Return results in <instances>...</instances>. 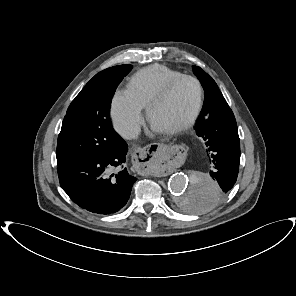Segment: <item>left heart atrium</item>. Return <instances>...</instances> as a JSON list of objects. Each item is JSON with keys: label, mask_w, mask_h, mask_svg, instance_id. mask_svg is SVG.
<instances>
[{"label": "left heart atrium", "mask_w": 296, "mask_h": 296, "mask_svg": "<svg viewBox=\"0 0 296 296\" xmlns=\"http://www.w3.org/2000/svg\"><path fill=\"white\" fill-rule=\"evenodd\" d=\"M153 127H154V126H153ZM154 129H155L156 131H159V130H158L157 128H155V127H154Z\"/></svg>", "instance_id": "obj_1"}]
</instances>
